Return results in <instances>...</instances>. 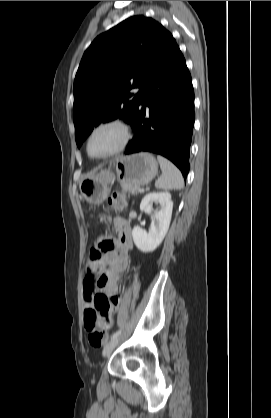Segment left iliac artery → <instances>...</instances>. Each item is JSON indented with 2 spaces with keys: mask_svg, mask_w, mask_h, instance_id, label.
<instances>
[{
  "mask_svg": "<svg viewBox=\"0 0 271 418\" xmlns=\"http://www.w3.org/2000/svg\"><path fill=\"white\" fill-rule=\"evenodd\" d=\"M121 332H122V329L113 333L112 336H111V340L117 338L121 334Z\"/></svg>",
  "mask_w": 271,
  "mask_h": 418,
  "instance_id": "44dca946",
  "label": "left iliac artery"
}]
</instances>
